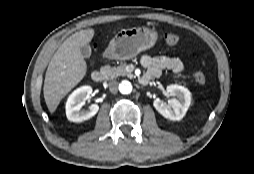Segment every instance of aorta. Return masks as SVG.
<instances>
[{
  "instance_id": "762f6f07",
  "label": "aorta",
  "mask_w": 254,
  "mask_h": 174,
  "mask_svg": "<svg viewBox=\"0 0 254 174\" xmlns=\"http://www.w3.org/2000/svg\"><path fill=\"white\" fill-rule=\"evenodd\" d=\"M119 91L122 94H130L132 92V85L130 82L128 81H123L120 85H119Z\"/></svg>"
}]
</instances>
